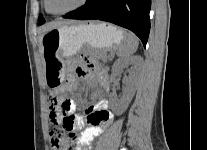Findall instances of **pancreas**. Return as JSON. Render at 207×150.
Wrapping results in <instances>:
<instances>
[{
    "mask_svg": "<svg viewBox=\"0 0 207 150\" xmlns=\"http://www.w3.org/2000/svg\"><path fill=\"white\" fill-rule=\"evenodd\" d=\"M111 57H112L111 54L106 53V54L102 55L100 59L103 60V61H107Z\"/></svg>",
    "mask_w": 207,
    "mask_h": 150,
    "instance_id": "obj_1",
    "label": "pancreas"
}]
</instances>
